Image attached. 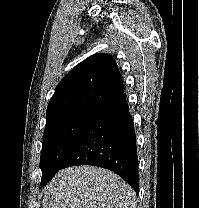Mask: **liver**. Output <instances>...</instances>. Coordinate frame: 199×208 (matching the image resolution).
Listing matches in <instances>:
<instances>
[{
    "mask_svg": "<svg viewBox=\"0 0 199 208\" xmlns=\"http://www.w3.org/2000/svg\"><path fill=\"white\" fill-rule=\"evenodd\" d=\"M42 208H137V201L117 174L85 165L58 171L43 190Z\"/></svg>",
    "mask_w": 199,
    "mask_h": 208,
    "instance_id": "1",
    "label": "liver"
}]
</instances>
